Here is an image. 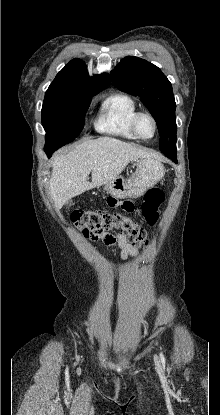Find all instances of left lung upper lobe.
Instances as JSON below:
<instances>
[{"label":"left lung upper lobe","mask_w":220,"mask_h":415,"mask_svg":"<svg viewBox=\"0 0 220 415\" xmlns=\"http://www.w3.org/2000/svg\"><path fill=\"white\" fill-rule=\"evenodd\" d=\"M111 77L118 89L139 96L153 115L161 152L177 153L176 104L172 85L161 70L144 59L127 56L111 72Z\"/></svg>","instance_id":"1"}]
</instances>
